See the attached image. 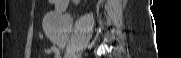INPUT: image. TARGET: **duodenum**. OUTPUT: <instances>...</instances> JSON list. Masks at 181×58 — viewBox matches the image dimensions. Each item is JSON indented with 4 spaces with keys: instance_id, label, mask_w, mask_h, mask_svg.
Here are the masks:
<instances>
[{
    "instance_id": "410a0bca",
    "label": "duodenum",
    "mask_w": 181,
    "mask_h": 58,
    "mask_svg": "<svg viewBox=\"0 0 181 58\" xmlns=\"http://www.w3.org/2000/svg\"><path fill=\"white\" fill-rule=\"evenodd\" d=\"M68 1L67 0H55L54 4L57 6L59 9H63L66 7Z\"/></svg>"
}]
</instances>
